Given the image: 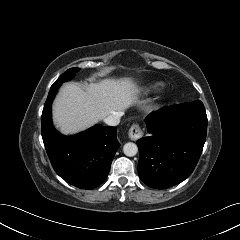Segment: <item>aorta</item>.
Listing matches in <instances>:
<instances>
[{"label":"aorta","mask_w":240,"mask_h":240,"mask_svg":"<svg viewBox=\"0 0 240 240\" xmlns=\"http://www.w3.org/2000/svg\"><path fill=\"white\" fill-rule=\"evenodd\" d=\"M123 152L128 157H133L138 152V147L135 143L128 142L123 146Z\"/></svg>","instance_id":"762f6f07"}]
</instances>
